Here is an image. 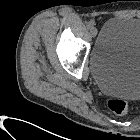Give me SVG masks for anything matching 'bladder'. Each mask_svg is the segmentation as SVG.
I'll use <instances>...</instances> for the list:
<instances>
[{
  "label": "bladder",
  "instance_id": "1",
  "mask_svg": "<svg viewBox=\"0 0 140 140\" xmlns=\"http://www.w3.org/2000/svg\"><path fill=\"white\" fill-rule=\"evenodd\" d=\"M91 73L106 93L140 98V18L108 20L90 53Z\"/></svg>",
  "mask_w": 140,
  "mask_h": 140
}]
</instances>
